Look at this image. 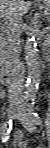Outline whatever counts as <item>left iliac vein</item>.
Instances as JSON below:
<instances>
[{"label":"left iliac vein","mask_w":50,"mask_h":148,"mask_svg":"<svg viewBox=\"0 0 50 148\" xmlns=\"http://www.w3.org/2000/svg\"><path fill=\"white\" fill-rule=\"evenodd\" d=\"M16 117L20 120L22 125L29 131L34 132L35 131V123L32 121L30 115H28L23 108H19Z\"/></svg>","instance_id":"left-iliac-vein-1"}]
</instances>
